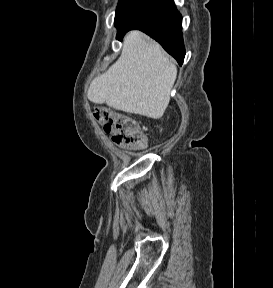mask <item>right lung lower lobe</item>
Returning <instances> with one entry per match:
<instances>
[{"instance_id": "obj_1", "label": "right lung lower lobe", "mask_w": 273, "mask_h": 288, "mask_svg": "<svg viewBox=\"0 0 273 288\" xmlns=\"http://www.w3.org/2000/svg\"><path fill=\"white\" fill-rule=\"evenodd\" d=\"M116 28L118 40L133 29L145 32L182 65L185 56L182 17L173 0H138Z\"/></svg>"}]
</instances>
